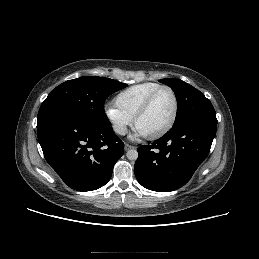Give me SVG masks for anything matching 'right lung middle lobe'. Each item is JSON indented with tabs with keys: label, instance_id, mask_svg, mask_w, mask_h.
Returning a JSON list of instances; mask_svg holds the SVG:
<instances>
[{
	"label": "right lung middle lobe",
	"instance_id": "1",
	"mask_svg": "<svg viewBox=\"0 0 259 259\" xmlns=\"http://www.w3.org/2000/svg\"><path fill=\"white\" fill-rule=\"evenodd\" d=\"M127 84L105 77L84 76L57 86L41 104L38 122L62 113H72L97 121H108L105 100Z\"/></svg>",
	"mask_w": 259,
	"mask_h": 259
}]
</instances>
